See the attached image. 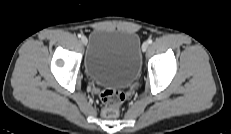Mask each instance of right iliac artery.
<instances>
[{
	"mask_svg": "<svg viewBox=\"0 0 231 134\" xmlns=\"http://www.w3.org/2000/svg\"><path fill=\"white\" fill-rule=\"evenodd\" d=\"M78 37H79V38H82V35H81V34H78Z\"/></svg>",
	"mask_w": 231,
	"mask_h": 134,
	"instance_id": "obj_1",
	"label": "right iliac artery"
}]
</instances>
